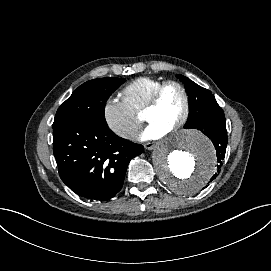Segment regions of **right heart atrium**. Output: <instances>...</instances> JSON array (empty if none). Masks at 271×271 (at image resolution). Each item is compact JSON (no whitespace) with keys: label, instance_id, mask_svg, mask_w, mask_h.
<instances>
[{"label":"right heart atrium","instance_id":"1","mask_svg":"<svg viewBox=\"0 0 271 271\" xmlns=\"http://www.w3.org/2000/svg\"><path fill=\"white\" fill-rule=\"evenodd\" d=\"M106 125L124 140H132L142 125L139 114L133 112L126 99L119 95L107 97L102 106Z\"/></svg>","mask_w":271,"mask_h":271}]
</instances>
